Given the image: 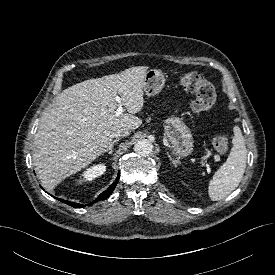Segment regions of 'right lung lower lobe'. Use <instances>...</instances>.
<instances>
[{"label": "right lung lower lobe", "mask_w": 275, "mask_h": 275, "mask_svg": "<svg viewBox=\"0 0 275 275\" xmlns=\"http://www.w3.org/2000/svg\"><path fill=\"white\" fill-rule=\"evenodd\" d=\"M118 180H119V174H118V176L116 178V181L106 191H104L103 193H101L98 196V198L96 200H94L92 203H95L97 200H103V199L108 198L111 195V193L113 192V190L115 189V187H116V185L118 183ZM59 200H61V199H59ZM61 201L64 202V203H66V204H68V205H70V206H72V207H74V208H82V207L86 206V205H81V204L70 202V201H66V200H61ZM92 203H90V204H92Z\"/></svg>", "instance_id": "obj_1"}]
</instances>
